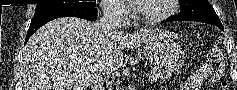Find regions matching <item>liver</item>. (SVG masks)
<instances>
[{"instance_id":"1","label":"liver","mask_w":237,"mask_h":90,"mask_svg":"<svg viewBox=\"0 0 237 90\" xmlns=\"http://www.w3.org/2000/svg\"><path fill=\"white\" fill-rule=\"evenodd\" d=\"M157 30L134 34H102L98 22L58 18L39 28L23 52V90H87L93 70L106 64L115 72L123 64L124 48H140Z\"/></svg>"}]
</instances>
